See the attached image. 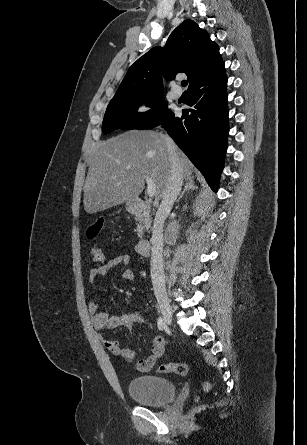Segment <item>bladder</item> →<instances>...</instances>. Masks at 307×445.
I'll return each mask as SVG.
<instances>
[{"mask_svg": "<svg viewBox=\"0 0 307 445\" xmlns=\"http://www.w3.org/2000/svg\"><path fill=\"white\" fill-rule=\"evenodd\" d=\"M176 391V385L171 380L155 375L136 376L128 383L130 396L140 404L151 407L172 401Z\"/></svg>", "mask_w": 307, "mask_h": 445, "instance_id": "bladder-1", "label": "bladder"}]
</instances>
